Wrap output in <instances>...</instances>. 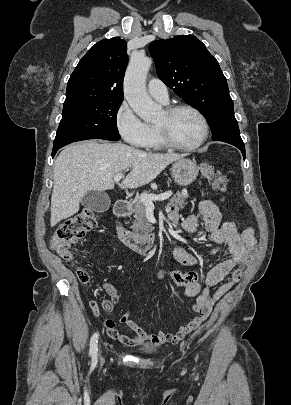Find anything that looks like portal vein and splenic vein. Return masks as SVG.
<instances>
[{
  "mask_svg": "<svg viewBox=\"0 0 291 405\" xmlns=\"http://www.w3.org/2000/svg\"><path fill=\"white\" fill-rule=\"evenodd\" d=\"M123 177V174L117 173L114 176V182L118 183L121 178ZM172 195V191H166L160 195H155V194H142L140 196V200L146 205V206H153V201H164L166 199H168L170 196Z\"/></svg>",
  "mask_w": 291,
  "mask_h": 405,
  "instance_id": "18ae733b",
  "label": "portal vein and splenic vein"
}]
</instances>
